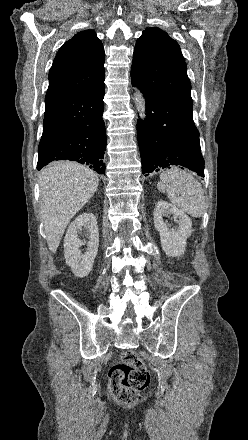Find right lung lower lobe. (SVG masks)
Here are the masks:
<instances>
[{"label":"right lung lower lobe","instance_id":"obj_1","mask_svg":"<svg viewBox=\"0 0 248 440\" xmlns=\"http://www.w3.org/2000/svg\"><path fill=\"white\" fill-rule=\"evenodd\" d=\"M104 84L45 105L37 170L55 160L86 164L105 174Z\"/></svg>","mask_w":248,"mask_h":440}]
</instances>
